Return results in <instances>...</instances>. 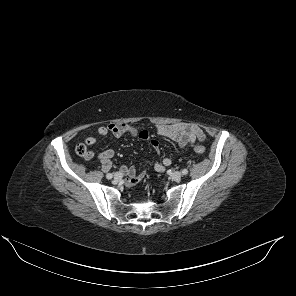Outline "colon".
<instances>
[{
	"label": "colon",
	"mask_w": 296,
	"mask_h": 296,
	"mask_svg": "<svg viewBox=\"0 0 296 296\" xmlns=\"http://www.w3.org/2000/svg\"><path fill=\"white\" fill-rule=\"evenodd\" d=\"M195 151L198 154H204L205 153V148L202 145H196L195 146ZM76 152L78 155L82 156V157H87L90 155V151L86 148L85 145L80 144L76 147Z\"/></svg>",
	"instance_id": "obj_1"
}]
</instances>
